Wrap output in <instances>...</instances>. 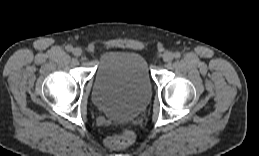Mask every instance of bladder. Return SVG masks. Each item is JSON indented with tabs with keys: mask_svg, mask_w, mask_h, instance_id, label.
Masks as SVG:
<instances>
[{
	"mask_svg": "<svg viewBox=\"0 0 259 156\" xmlns=\"http://www.w3.org/2000/svg\"><path fill=\"white\" fill-rule=\"evenodd\" d=\"M151 94V75L141 54L110 51L101 57L92 98L102 112L114 118H132L148 104Z\"/></svg>",
	"mask_w": 259,
	"mask_h": 156,
	"instance_id": "obj_1",
	"label": "bladder"
}]
</instances>
